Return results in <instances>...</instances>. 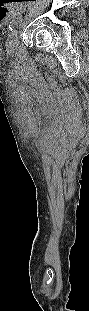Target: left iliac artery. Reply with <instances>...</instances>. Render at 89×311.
Returning <instances> with one entry per match:
<instances>
[{"instance_id": "1", "label": "left iliac artery", "mask_w": 89, "mask_h": 311, "mask_svg": "<svg viewBox=\"0 0 89 311\" xmlns=\"http://www.w3.org/2000/svg\"><path fill=\"white\" fill-rule=\"evenodd\" d=\"M20 22H22L21 18L12 20V22H10V25H9V30L12 31L13 28L16 27Z\"/></svg>"}]
</instances>
